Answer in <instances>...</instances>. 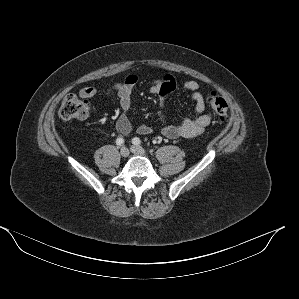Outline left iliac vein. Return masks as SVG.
Wrapping results in <instances>:
<instances>
[{"label":"left iliac vein","mask_w":299,"mask_h":299,"mask_svg":"<svg viewBox=\"0 0 299 299\" xmlns=\"http://www.w3.org/2000/svg\"><path fill=\"white\" fill-rule=\"evenodd\" d=\"M130 151L136 155H144L146 153L145 149L140 146H131Z\"/></svg>","instance_id":"left-iliac-vein-1"}]
</instances>
